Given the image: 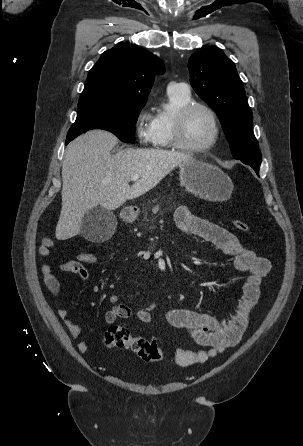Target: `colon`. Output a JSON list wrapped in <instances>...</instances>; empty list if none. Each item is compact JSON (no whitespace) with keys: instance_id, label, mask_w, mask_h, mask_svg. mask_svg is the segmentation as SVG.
I'll return each instance as SVG.
<instances>
[{"instance_id":"obj_1","label":"colon","mask_w":303,"mask_h":446,"mask_svg":"<svg viewBox=\"0 0 303 446\" xmlns=\"http://www.w3.org/2000/svg\"><path fill=\"white\" fill-rule=\"evenodd\" d=\"M232 224L239 231H249L248 224L240 219H233ZM79 259L86 263H95L98 257L93 252L84 251L79 254ZM103 343L109 349L130 348L147 363H155L163 359V351L155 340L133 336L125 326L109 327L104 333Z\"/></svg>"}]
</instances>
